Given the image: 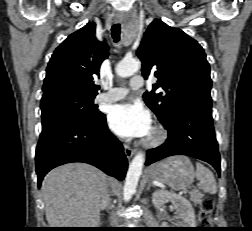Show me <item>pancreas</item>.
Masks as SVG:
<instances>
[{"instance_id": "obj_1", "label": "pancreas", "mask_w": 252, "mask_h": 231, "mask_svg": "<svg viewBox=\"0 0 252 231\" xmlns=\"http://www.w3.org/2000/svg\"><path fill=\"white\" fill-rule=\"evenodd\" d=\"M203 197V194L199 192L198 190H194L190 192V200L194 204H199L201 202V198Z\"/></svg>"}]
</instances>
